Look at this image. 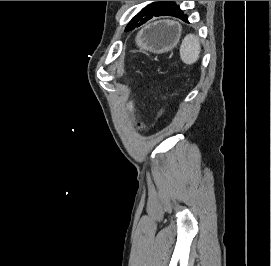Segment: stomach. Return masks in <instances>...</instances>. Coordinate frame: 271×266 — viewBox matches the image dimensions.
Returning a JSON list of instances; mask_svg holds the SVG:
<instances>
[{"label":"stomach","mask_w":271,"mask_h":266,"mask_svg":"<svg viewBox=\"0 0 271 266\" xmlns=\"http://www.w3.org/2000/svg\"><path fill=\"white\" fill-rule=\"evenodd\" d=\"M180 34L178 25L171 22H156L138 33L136 44L143 52L164 53L176 46Z\"/></svg>","instance_id":"1"}]
</instances>
